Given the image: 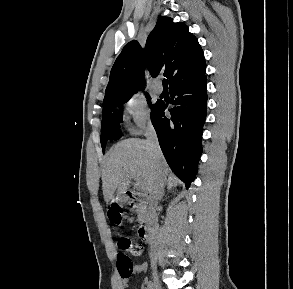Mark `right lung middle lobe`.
<instances>
[{"label":"right lung middle lobe","mask_w":293,"mask_h":289,"mask_svg":"<svg viewBox=\"0 0 293 289\" xmlns=\"http://www.w3.org/2000/svg\"><path fill=\"white\" fill-rule=\"evenodd\" d=\"M131 95L115 97L103 104V115L101 122V145L103 152L105 150L107 140H118L122 133L120 123L122 122V114L113 112L115 107L129 100ZM151 111L156 107L157 103L151 104L150 97L146 94Z\"/></svg>","instance_id":"right-lung-middle-lobe-1"}]
</instances>
